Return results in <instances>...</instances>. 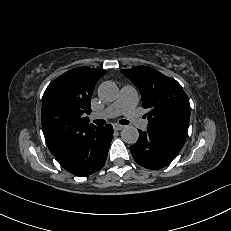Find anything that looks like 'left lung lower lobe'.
Masks as SVG:
<instances>
[{
  "label": "left lung lower lobe",
  "mask_w": 231,
  "mask_h": 231,
  "mask_svg": "<svg viewBox=\"0 0 231 231\" xmlns=\"http://www.w3.org/2000/svg\"><path fill=\"white\" fill-rule=\"evenodd\" d=\"M185 140L184 135L148 126L146 132L139 130V139L130 151L137 164L148 169H161L179 153Z\"/></svg>",
  "instance_id": "1"
}]
</instances>
